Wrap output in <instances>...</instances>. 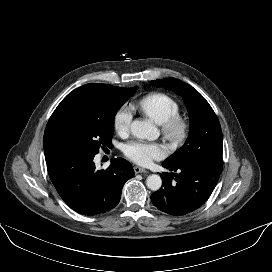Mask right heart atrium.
I'll return each instance as SVG.
<instances>
[{"label":"right heart atrium","mask_w":272,"mask_h":272,"mask_svg":"<svg viewBox=\"0 0 272 272\" xmlns=\"http://www.w3.org/2000/svg\"><path fill=\"white\" fill-rule=\"evenodd\" d=\"M132 113L128 107L121 108L114 117V129L120 136H126L130 131Z\"/></svg>","instance_id":"1"}]
</instances>
